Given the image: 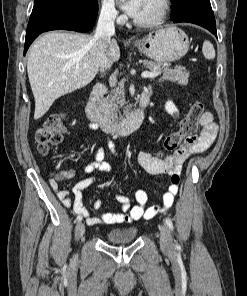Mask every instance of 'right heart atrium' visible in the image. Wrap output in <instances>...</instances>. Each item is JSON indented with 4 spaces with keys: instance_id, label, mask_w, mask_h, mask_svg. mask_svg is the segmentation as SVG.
<instances>
[{
    "instance_id": "obj_1",
    "label": "right heart atrium",
    "mask_w": 247,
    "mask_h": 296,
    "mask_svg": "<svg viewBox=\"0 0 247 296\" xmlns=\"http://www.w3.org/2000/svg\"><path fill=\"white\" fill-rule=\"evenodd\" d=\"M100 14L103 18L110 21H120V16L114 0H100Z\"/></svg>"
}]
</instances>
